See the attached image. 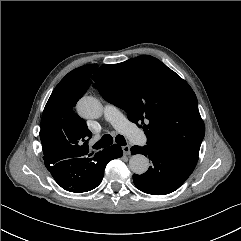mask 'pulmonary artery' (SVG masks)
<instances>
[{
    "mask_svg": "<svg viewBox=\"0 0 241 241\" xmlns=\"http://www.w3.org/2000/svg\"><path fill=\"white\" fill-rule=\"evenodd\" d=\"M104 117L116 130L125 134L129 139L137 144L143 145L146 139L143 133L134 126L129 120L113 105L104 106Z\"/></svg>",
    "mask_w": 241,
    "mask_h": 241,
    "instance_id": "1",
    "label": "pulmonary artery"
}]
</instances>
